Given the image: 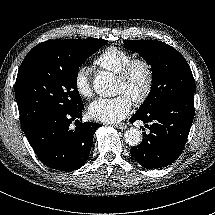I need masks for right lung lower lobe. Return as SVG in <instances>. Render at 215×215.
<instances>
[{"label":"right lung lower lobe","instance_id":"98d812e1","mask_svg":"<svg viewBox=\"0 0 215 215\" xmlns=\"http://www.w3.org/2000/svg\"><path fill=\"white\" fill-rule=\"evenodd\" d=\"M83 109L84 106L71 112H43L22 125L31 147L47 167L74 171L86 162L94 132L101 124L85 122L70 130V124L81 117Z\"/></svg>","mask_w":215,"mask_h":215}]
</instances>
